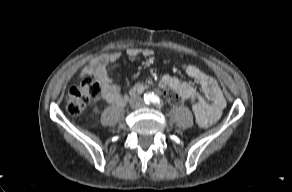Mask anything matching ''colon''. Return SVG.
<instances>
[{"label":"colon","mask_w":292,"mask_h":192,"mask_svg":"<svg viewBox=\"0 0 292 192\" xmlns=\"http://www.w3.org/2000/svg\"><path fill=\"white\" fill-rule=\"evenodd\" d=\"M102 91V82L96 77L85 78L79 86L72 87L67 94L66 109L69 114L77 116L87 107L91 99L97 98ZM168 101L173 105H180L185 99L174 92L165 93ZM197 96H191L188 101H196Z\"/></svg>","instance_id":"colon-1"}]
</instances>
